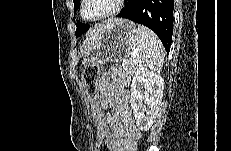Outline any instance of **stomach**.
<instances>
[{"label":"stomach","instance_id":"0dacf381","mask_svg":"<svg viewBox=\"0 0 231 151\" xmlns=\"http://www.w3.org/2000/svg\"><path fill=\"white\" fill-rule=\"evenodd\" d=\"M135 25L129 20L113 23L100 39L90 47L83 58L85 66L103 65L126 59L132 50Z\"/></svg>","mask_w":231,"mask_h":151}]
</instances>
